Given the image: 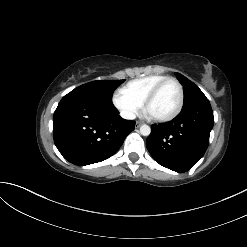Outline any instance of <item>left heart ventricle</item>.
Returning a JSON list of instances; mask_svg holds the SVG:
<instances>
[{"instance_id":"b2bd125f","label":"left heart ventricle","mask_w":247,"mask_h":247,"mask_svg":"<svg viewBox=\"0 0 247 247\" xmlns=\"http://www.w3.org/2000/svg\"><path fill=\"white\" fill-rule=\"evenodd\" d=\"M179 102V91L173 82H169L160 90L147 107V112L154 117L171 114Z\"/></svg>"}]
</instances>
